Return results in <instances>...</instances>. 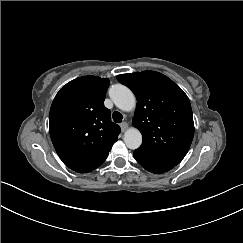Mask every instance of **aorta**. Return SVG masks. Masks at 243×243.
Returning <instances> with one entry per match:
<instances>
[{
	"mask_svg": "<svg viewBox=\"0 0 243 243\" xmlns=\"http://www.w3.org/2000/svg\"><path fill=\"white\" fill-rule=\"evenodd\" d=\"M109 97L115 106L122 111H131L136 105V99L132 91L122 85L114 84L109 89ZM124 143L129 149L135 150L142 143V135L136 128H129L124 133Z\"/></svg>",
	"mask_w": 243,
	"mask_h": 243,
	"instance_id": "aorta-1",
	"label": "aorta"
}]
</instances>
